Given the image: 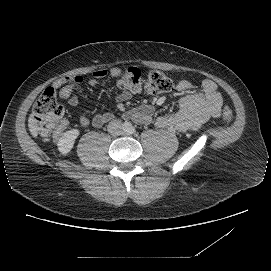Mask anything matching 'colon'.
<instances>
[{
  "mask_svg": "<svg viewBox=\"0 0 271 271\" xmlns=\"http://www.w3.org/2000/svg\"><path fill=\"white\" fill-rule=\"evenodd\" d=\"M118 85L123 91L132 93L144 91L150 95L168 92L173 88L172 80L163 72L153 70L143 79L141 71L137 67L128 68L119 79ZM221 114L225 122H232L233 113L228 106L222 107ZM31 122L43 136L62 131L65 127L64 108L56 101V92L53 87H47L36 100Z\"/></svg>",
  "mask_w": 271,
  "mask_h": 271,
  "instance_id": "colon-1",
  "label": "colon"
}]
</instances>
